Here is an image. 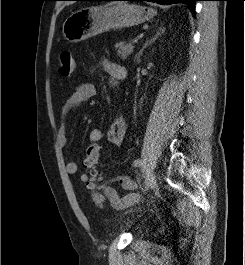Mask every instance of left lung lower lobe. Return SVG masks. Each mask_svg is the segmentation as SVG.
I'll return each instance as SVG.
<instances>
[{"mask_svg":"<svg viewBox=\"0 0 245 265\" xmlns=\"http://www.w3.org/2000/svg\"><path fill=\"white\" fill-rule=\"evenodd\" d=\"M89 1H116V0H89ZM119 1H150L156 2L163 5H169L173 3H184L189 6L192 13H195V1L199 0H119Z\"/></svg>","mask_w":245,"mask_h":265,"instance_id":"obj_1","label":"left lung lower lobe"}]
</instances>
